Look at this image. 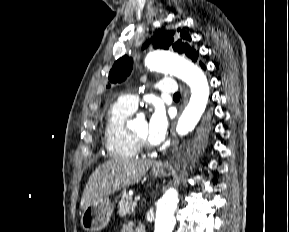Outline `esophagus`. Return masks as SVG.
I'll use <instances>...</instances> for the list:
<instances>
[{
	"instance_id": "34e87169",
	"label": "esophagus",
	"mask_w": 289,
	"mask_h": 232,
	"mask_svg": "<svg viewBox=\"0 0 289 232\" xmlns=\"http://www.w3.org/2000/svg\"><path fill=\"white\" fill-rule=\"evenodd\" d=\"M172 136H173V139H172V142H171V149L173 150L177 144H178V139L176 137V134H175V123L173 125V129H172ZM157 167H161V165H157Z\"/></svg>"
}]
</instances>
